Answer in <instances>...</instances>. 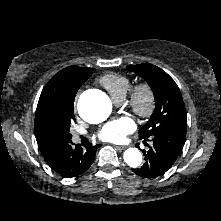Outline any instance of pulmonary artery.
<instances>
[{
	"instance_id": "pulmonary-artery-1",
	"label": "pulmonary artery",
	"mask_w": 221,
	"mask_h": 221,
	"mask_svg": "<svg viewBox=\"0 0 221 221\" xmlns=\"http://www.w3.org/2000/svg\"><path fill=\"white\" fill-rule=\"evenodd\" d=\"M123 98H116V99H113V101L116 103V104H121L123 102ZM80 139V133L78 132H73V140L74 141H78Z\"/></svg>"
}]
</instances>
